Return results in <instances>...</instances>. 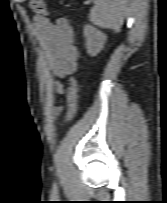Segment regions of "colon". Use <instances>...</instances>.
<instances>
[{"mask_svg": "<svg viewBox=\"0 0 167 203\" xmlns=\"http://www.w3.org/2000/svg\"><path fill=\"white\" fill-rule=\"evenodd\" d=\"M29 6L33 13L36 15H48V11L44 5L43 0H29ZM68 101L69 113L65 120L64 127H66L76 117L78 112V75H74L70 80Z\"/></svg>", "mask_w": 167, "mask_h": 203, "instance_id": "obj_1", "label": "colon"}]
</instances>
